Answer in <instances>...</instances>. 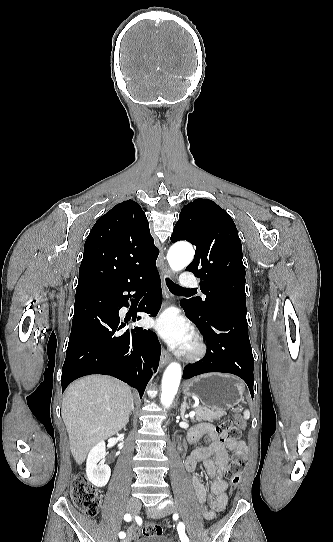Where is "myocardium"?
Masks as SVG:
<instances>
[{
  "instance_id": "1",
  "label": "myocardium",
  "mask_w": 333,
  "mask_h": 542,
  "mask_svg": "<svg viewBox=\"0 0 333 542\" xmlns=\"http://www.w3.org/2000/svg\"><path fill=\"white\" fill-rule=\"evenodd\" d=\"M206 354V346L202 337L195 333L188 347L178 352V357L188 362L201 360Z\"/></svg>"
}]
</instances>
